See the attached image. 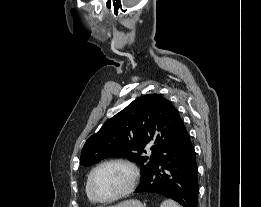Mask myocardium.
Wrapping results in <instances>:
<instances>
[{"mask_svg": "<svg viewBox=\"0 0 261 207\" xmlns=\"http://www.w3.org/2000/svg\"><path fill=\"white\" fill-rule=\"evenodd\" d=\"M114 164L122 165V166H125L126 168L129 169V171L131 173L130 183L120 193H118V194H116V195H114V196H112L110 198H100V197L97 196V194L95 193L94 188H93L94 175L102 167L107 166V165H114ZM138 180H139V170H138L137 166L134 163H132V162H130L128 160H125V159H110V160H106V161L98 164L96 167H94L92 169V171L89 174L88 180H87V185H88L89 194L92 197V199L95 202L106 204V203L114 202V201H116L118 199H121V198L129 195L135 189V187H136V185L138 183Z\"/></svg>", "mask_w": 261, "mask_h": 207, "instance_id": "1", "label": "myocardium"}]
</instances>
